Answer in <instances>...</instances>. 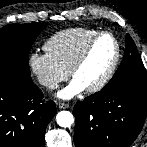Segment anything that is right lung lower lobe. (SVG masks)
<instances>
[{"label":"right lung lower lobe","mask_w":147,"mask_h":147,"mask_svg":"<svg viewBox=\"0 0 147 147\" xmlns=\"http://www.w3.org/2000/svg\"><path fill=\"white\" fill-rule=\"evenodd\" d=\"M55 114V103L43 100L31 77L0 70V147H43Z\"/></svg>","instance_id":"obj_1"}]
</instances>
